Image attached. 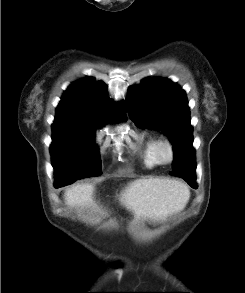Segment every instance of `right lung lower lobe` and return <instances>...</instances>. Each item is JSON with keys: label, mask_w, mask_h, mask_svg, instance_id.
Instances as JSON below:
<instances>
[{"label": "right lung lower lobe", "mask_w": 245, "mask_h": 293, "mask_svg": "<svg viewBox=\"0 0 245 293\" xmlns=\"http://www.w3.org/2000/svg\"><path fill=\"white\" fill-rule=\"evenodd\" d=\"M55 187H56V188H59V186H58V185H56V184H55Z\"/></svg>", "instance_id": "obj_1"}]
</instances>
